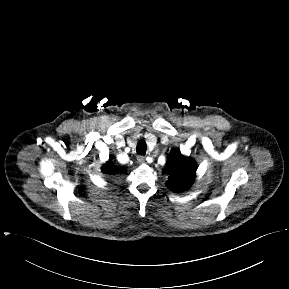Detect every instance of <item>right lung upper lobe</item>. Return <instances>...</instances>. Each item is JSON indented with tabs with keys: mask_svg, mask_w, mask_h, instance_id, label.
I'll return each instance as SVG.
<instances>
[{
	"mask_svg": "<svg viewBox=\"0 0 289 289\" xmlns=\"http://www.w3.org/2000/svg\"><path fill=\"white\" fill-rule=\"evenodd\" d=\"M102 172L105 174L113 175L123 172V168H118L111 160H109L106 164L103 165Z\"/></svg>",
	"mask_w": 289,
	"mask_h": 289,
	"instance_id": "obj_1",
	"label": "right lung upper lobe"
}]
</instances>
